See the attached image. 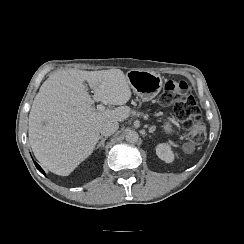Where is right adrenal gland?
I'll use <instances>...</instances> for the list:
<instances>
[{"label":"right adrenal gland","instance_id":"2a0ac1e0","mask_svg":"<svg viewBox=\"0 0 244 244\" xmlns=\"http://www.w3.org/2000/svg\"><path fill=\"white\" fill-rule=\"evenodd\" d=\"M100 143L98 145V147H96L95 149H99V152H101V150L103 149L104 147V141L107 139V137H103L102 135L100 136Z\"/></svg>","mask_w":244,"mask_h":244}]
</instances>
